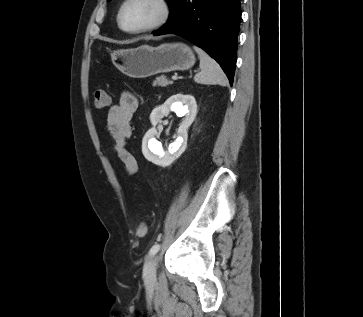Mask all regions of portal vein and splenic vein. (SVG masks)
<instances>
[{
	"label": "portal vein and splenic vein",
	"mask_w": 363,
	"mask_h": 317,
	"mask_svg": "<svg viewBox=\"0 0 363 317\" xmlns=\"http://www.w3.org/2000/svg\"><path fill=\"white\" fill-rule=\"evenodd\" d=\"M177 79V76H172V80H176Z\"/></svg>",
	"instance_id": "portal-vein-and-splenic-vein-1"
}]
</instances>
